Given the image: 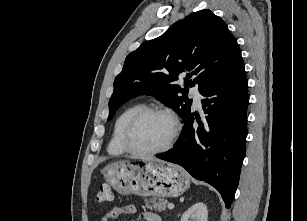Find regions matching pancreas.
<instances>
[{
	"instance_id": "pancreas-1",
	"label": "pancreas",
	"mask_w": 307,
	"mask_h": 221,
	"mask_svg": "<svg viewBox=\"0 0 307 221\" xmlns=\"http://www.w3.org/2000/svg\"><path fill=\"white\" fill-rule=\"evenodd\" d=\"M166 204L167 201L163 199H159L158 201H156L155 198L145 200V206L154 211H164L166 209Z\"/></svg>"
}]
</instances>
